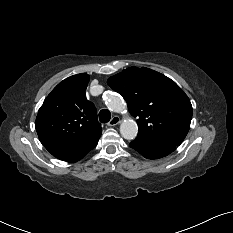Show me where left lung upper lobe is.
Here are the masks:
<instances>
[{
    "instance_id": "1",
    "label": "left lung upper lobe",
    "mask_w": 233,
    "mask_h": 233,
    "mask_svg": "<svg viewBox=\"0 0 233 233\" xmlns=\"http://www.w3.org/2000/svg\"><path fill=\"white\" fill-rule=\"evenodd\" d=\"M108 85L121 94L137 117L136 138L179 146L192 119V105L180 87L149 68L130 67L112 76Z\"/></svg>"
}]
</instances>
